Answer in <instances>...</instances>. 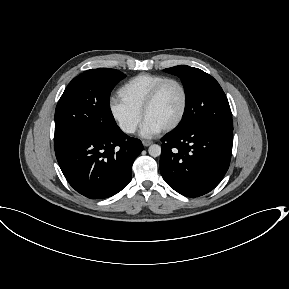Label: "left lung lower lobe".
I'll list each match as a JSON object with an SVG mask.
<instances>
[{
    "label": "left lung lower lobe",
    "instance_id": "1",
    "mask_svg": "<svg viewBox=\"0 0 289 289\" xmlns=\"http://www.w3.org/2000/svg\"><path fill=\"white\" fill-rule=\"evenodd\" d=\"M233 130L210 125L174 129L161 141L160 171L166 183L187 197L213 190L230 165Z\"/></svg>",
    "mask_w": 289,
    "mask_h": 289
}]
</instances>
